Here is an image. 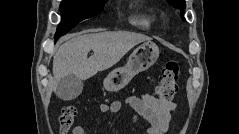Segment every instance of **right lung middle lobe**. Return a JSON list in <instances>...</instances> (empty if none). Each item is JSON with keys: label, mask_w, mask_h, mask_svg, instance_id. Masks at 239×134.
Returning <instances> with one entry per match:
<instances>
[{"label": "right lung middle lobe", "mask_w": 239, "mask_h": 134, "mask_svg": "<svg viewBox=\"0 0 239 134\" xmlns=\"http://www.w3.org/2000/svg\"><path fill=\"white\" fill-rule=\"evenodd\" d=\"M104 3L105 0H63L60 4L62 21L57 27L55 41L80 21L99 14Z\"/></svg>", "instance_id": "right-lung-middle-lobe-1"}]
</instances>
